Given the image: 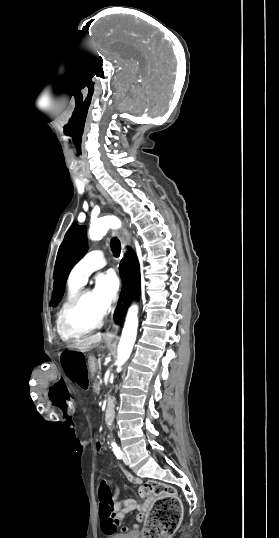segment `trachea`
<instances>
[{
	"label": "trachea",
	"mask_w": 279,
	"mask_h": 538,
	"mask_svg": "<svg viewBox=\"0 0 279 538\" xmlns=\"http://www.w3.org/2000/svg\"><path fill=\"white\" fill-rule=\"evenodd\" d=\"M110 247L113 252V255L116 258L119 257L121 252V245L120 241L116 237L111 239Z\"/></svg>",
	"instance_id": "trachea-1"
}]
</instances>
